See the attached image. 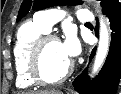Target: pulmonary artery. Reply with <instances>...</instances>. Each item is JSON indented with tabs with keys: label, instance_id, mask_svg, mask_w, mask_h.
Instances as JSON below:
<instances>
[{
	"label": "pulmonary artery",
	"instance_id": "e3ab8cb5",
	"mask_svg": "<svg viewBox=\"0 0 121 94\" xmlns=\"http://www.w3.org/2000/svg\"><path fill=\"white\" fill-rule=\"evenodd\" d=\"M65 11L61 9H50L36 13L35 20L47 31H50L52 26L65 16ZM77 19L81 22L90 23L94 20L93 15L88 9H80L76 13Z\"/></svg>",
	"mask_w": 121,
	"mask_h": 94
}]
</instances>
